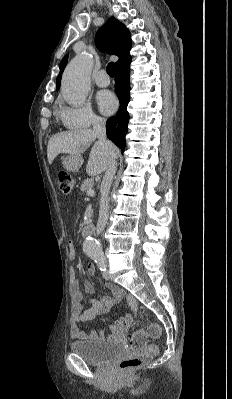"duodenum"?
Masks as SVG:
<instances>
[{"label": "duodenum", "instance_id": "duodenum-1", "mask_svg": "<svg viewBox=\"0 0 232 399\" xmlns=\"http://www.w3.org/2000/svg\"><path fill=\"white\" fill-rule=\"evenodd\" d=\"M93 232H94V228L91 225L85 224L83 226V234L85 236L89 237V236H91L93 234Z\"/></svg>", "mask_w": 232, "mask_h": 399}]
</instances>
